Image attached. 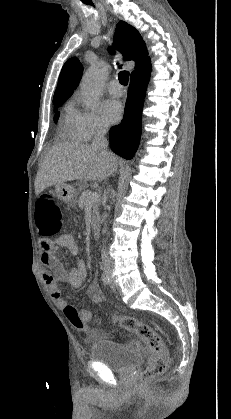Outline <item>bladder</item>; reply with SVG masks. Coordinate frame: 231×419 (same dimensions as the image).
Wrapping results in <instances>:
<instances>
[{"mask_svg": "<svg viewBox=\"0 0 231 419\" xmlns=\"http://www.w3.org/2000/svg\"><path fill=\"white\" fill-rule=\"evenodd\" d=\"M90 358L119 373H128L145 362L141 353L109 339L94 341L90 347Z\"/></svg>", "mask_w": 231, "mask_h": 419, "instance_id": "bladder-1", "label": "bladder"}]
</instances>
